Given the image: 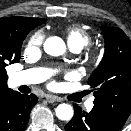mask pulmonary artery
Returning <instances> with one entry per match:
<instances>
[{
    "mask_svg": "<svg viewBox=\"0 0 131 131\" xmlns=\"http://www.w3.org/2000/svg\"><path fill=\"white\" fill-rule=\"evenodd\" d=\"M73 51L79 52V48H73ZM49 74V71L42 68H32L25 71L16 73L13 76V84L15 86L35 84L42 82ZM88 110H91L94 107L93 99H90L85 104Z\"/></svg>",
    "mask_w": 131,
    "mask_h": 131,
    "instance_id": "e3ab8cb5",
    "label": "pulmonary artery"
}]
</instances>
